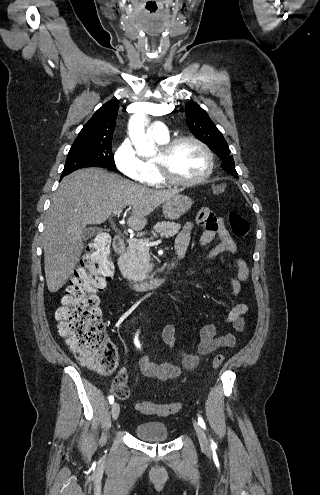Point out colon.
Wrapping results in <instances>:
<instances>
[{
	"label": "colon",
	"instance_id": "colon-1",
	"mask_svg": "<svg viewBox=\"0 0 320 495\" xmlns=\"http://www.w3.org/2000/svg\"><path fill=\"white\" fill-rule=\"evenodd\" d=\"M226 184L215 187L221 194ZM233 234L244 237L249 231V223L242 215L233 212L228 216ZM110 241L106 236L97 237L87 248L82 266L75 274L63 297L62 306L56 311L59 334L66 339L69 348L85 364L101 374L112 373L118 363L117 350L106 341L104 324L96 293L107 286L113 276L114 267L109 258ZM224 361V355L218 353L212 361L218 369ZM112 390L119 399L129 397L127 376L119 374L113 380ZM180 402L158 404L150 401L135 404L137 411L143 414L169 416L181 410Z\"/></svg>",
	"mask_w": 320,
	"mask_h": 495
}]
</instances>
